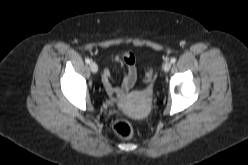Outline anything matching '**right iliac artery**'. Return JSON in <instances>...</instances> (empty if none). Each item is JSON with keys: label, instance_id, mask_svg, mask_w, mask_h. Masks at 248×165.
I'll list each match as a JSON object with an SVG mask.
<instances>
[{"label": "right iliac artery", "instance_id": "obj_1", "mask_svg": "<svg viewBox=\"0 0 248 165\" xmlns=\"http://www.w3.org/2000/svg\"><path fill=\"white\" fill-rule=\"evenodd\" d=\"M85 62H86L87 64H89V63L91 62V60H90L89 58H86V59H85Z\"/></svg>", "mask_w": 248, "mask_h": 165}]
</instances>
